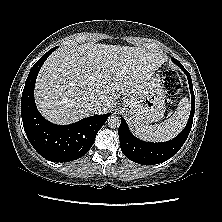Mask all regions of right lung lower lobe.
Wrapping results in <instances>:
<instances>
[{
	"instance_id": "1",
	"label": "right lung lower lobe",
	"mask_w": 222,
	"mask_h": 222,
	"mask_svg": "<svg viewBox=\"0 0 222 222\" xmlns=\"http://www.w3.org/2000/svg\"><path fill=\"white\" fill-rule=\"evenodd\" d=\"M56 48L45 53L31 68L22 93L21 115L25 133L34 149L47 160L68 162L89 151L111 113L90 116L63 126L47 121L40 114L34 101V86L41 66Z\"/></svg>"
}]
</instances>
